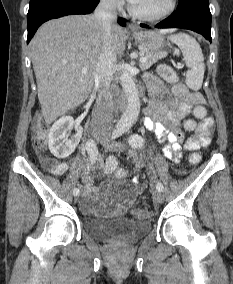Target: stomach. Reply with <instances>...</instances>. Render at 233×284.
<instances>
[{"mask_svg":"<svg viewBox=\"0 0 233 284\" xmlns=\"http://www.w3.org/2000/svg\"><path fill=\"white\" fill-rule=\"evenodd\" d=\"M135 40L151 52L162 51L165 48V38L162 34L151 30H141L133 33Z\"/></svg>","mask_w":233,"mask_h":284,"instance_id":"0dacf381","label":"stomach"}]
</instances>
